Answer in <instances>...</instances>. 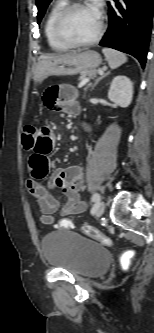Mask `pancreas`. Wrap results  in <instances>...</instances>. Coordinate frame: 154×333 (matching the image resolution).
I'll return each instance as SVG.
<instances>
[{"instance_id": "obj_1", "label": "pancreas", "mask_w": 154, "mask_h": 333, "mask_svg": "<svg viewBox=\"0 0 154 333\" xmlns=\"http://www.w3.org/2000/svg\"><path fill=\"white\" fill-rule=\"evenodd\" d=\"M98 73V70H88V71H83L79 77L80 81L86 80V79H91L95 77Z\"/></svg>"}]
</instances>
